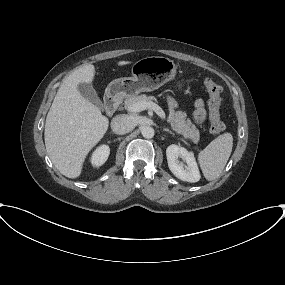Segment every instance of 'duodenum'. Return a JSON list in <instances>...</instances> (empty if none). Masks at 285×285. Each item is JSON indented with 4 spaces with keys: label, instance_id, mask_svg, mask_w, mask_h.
I'll use <instances>...</instances> for the list:
<instances>
[{
    "label": "duodenum",
    "instance_id": "obj_1",
    "mask_svg": "<svg viewBox=\"0 0 285 285\" xmlns=\"http://www.w3.org/2000/svg\"><path fill=\"white\" fill-rule=\"evenodd\" d=\"M121 99L116 93L110 92L105 99V107L108 115H113L120 105Z\"/></svg>",
    "mask_w": 285,
    "mask_h": 285
}]
</instances>
